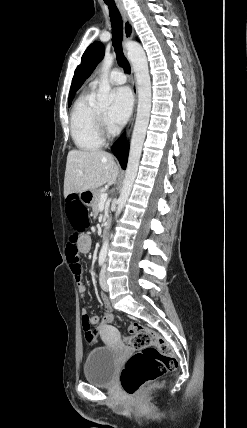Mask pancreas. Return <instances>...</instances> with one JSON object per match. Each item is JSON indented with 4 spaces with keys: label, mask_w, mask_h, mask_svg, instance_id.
Instances as JSON below:
<instances>
[{
    "label": "pancreas",
    "mask_w": 247,
    "mask_h": 428,
    "mask_svg": "<svg viewBox=\"0 0 247 428\" xmlns=\"http://www.w3.org/2000/svg\"><path fill=\"white\" fill-rule=\"evenodd\" d=\"M104 193V191L103 190H96V192H95V197H94V201H93V204H92V209H93V213L94 214H98V207H99V204H100V197H101V195Z\"/></svg>",
    "instance_id": "cf45deb5"
}]
</instances>
